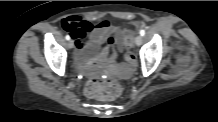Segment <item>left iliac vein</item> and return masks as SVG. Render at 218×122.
Instances as JSON below:
<instances>
[{"label":"left iliac vein","instance_id":"obj_1","mask_svg":"<svg viewBox=\"0 0 218 122\" xmlns=\"http://www.w3.org/2000/svg\"><path fill=\"white\" fill-rule=\"evenodd\" d=\"M135 43H136L137 46H140L142 44V36L141 35H138L135 38Z\"/></svg>","mask_w":218,"mask_h":122}]
</instances>
